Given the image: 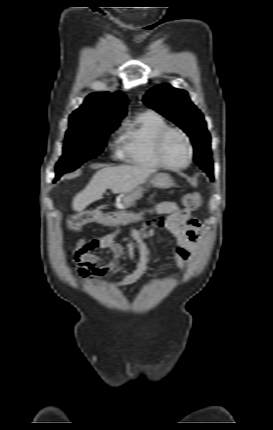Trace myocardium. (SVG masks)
Instances as JSON below:
<instances>
[{
  "instance_id": "f54148a6",
  "label": "myocardium",
  "mask_w": 273,
  "mask_h": 430,
  "mask_svg": "<svg viewBox=\"0 0 273 430\" xmlns=\"http://www.w3.org/2000/svg\"><path fill=\"white\" fill-rule=\"evenodd\" d=\"M172 132L179 133L184 138V140L186 142V146H187V150H188V158H187V161L182 165L170 164L169 162L166 161V159L164 158V155H163L164 141H165L166 137ZM155 154H156L158 161L161 163V165L163 167L171 169V170H182V169L187 168L192 163L194 152H193V146H192L191 139H190L189 135L181 128L169 126L167 128H164L157 135L156 141H155Z\"/></svg>"
}]
</instances>
